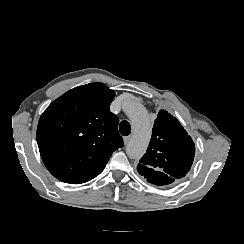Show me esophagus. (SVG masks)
<instances>
[{
	"label": "esophagus",
	"instance_id": "obj_1",
	"mask_svg": "<svg viewBox=\"0 0 244 244\" xmlns=\"http://www.w3.org/2000/svg\"><path fill=\"white\" fill-rule=\"evenodd\" d=\"M130 140H131V136L130 135L124 137V145H128Z\"/></svg>",
	"mask_w": 244,
	"mask_h": 244
}]
</instances>
